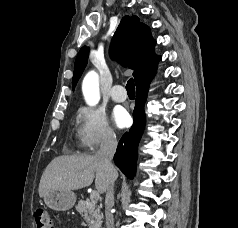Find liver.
<instances>
[{"instance_id":"6515ba94","label":"liver","mask_w":238,"mask_h":228,"mask_svg":"<svg viewBox=\"0 0 238 228\" xmlns=\"http://www.w3.org/2000/svg\"><path fill=\"white\" fill-rule=\"evenodd\" d=\"M117 177V171H110L96 155H64L53 159L44 170L39 183V196L44 197L51 189H81L91 185L94 178L98 193H104L111 180L115 181Z\"/></svg>"}]
</instances>
